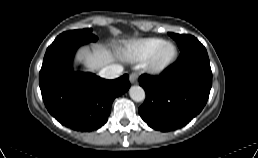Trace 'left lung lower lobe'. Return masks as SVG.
Masks as SVG:
<instances>
[{
    "mask_svg": "<svg viewBox=\"0 0 258 158\" xmlns=\"http://www.w3.org/2000/svg\"><path fill=\"white\" fill-rule=\"evenodd\" d=\"M139 83L146 100L138 111L151 128L166 132L185 126L209 98L212 72L205 47L199 41L190 44L163 74H143Z\"/></svg>",
    "mask_w": 258,
    "mask_h": 158,
    "instance_id": "1",
    "label": "left lung lower lobe"
}]
</instances>
